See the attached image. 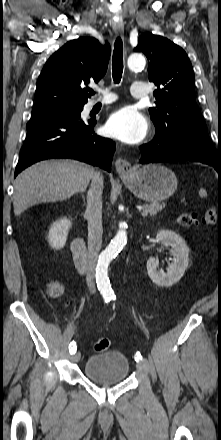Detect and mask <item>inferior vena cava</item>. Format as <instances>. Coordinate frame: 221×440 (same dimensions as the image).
Masks as SVG:
<instances>
[{
	"instance_id": "1",
	"label": "inferior vena cava",
	"mask_w": 221,
	"mask_h": 440,
	"mask_svg": "<svg viewBox=\"0 0 221 440\" xmlns=\"http://www.w3.org/2000/svg\"><path fill=\"white\" fill-rule=\"evenodd\" d=\"M102 191L103 177L99 172H95L88 192L85 211V217L88 221V267L86 280L90 289L95 287V268L102 246Z\"/></svg>"
}]
</instances>
